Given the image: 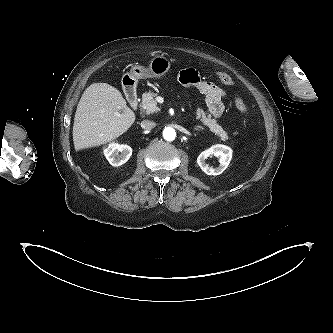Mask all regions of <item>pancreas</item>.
<instances>
[{
    "instance_id": "1",
    "label": "pancreas",
    "mask_w": 333,
    "mask_h": 333,
    "mask_svg": "<svg viewBox=\"0 0 333 333\" xmlns=\"http://www.w3.org/2000/svg\"><path fill=\"white\" fill-rule=\"evenodd\" d=\"M157 93L152 91L145 92L142 95V108L144 109L146 114H151L153 112L158 111L157 102L155 98L157 97ZM196 117L200 119L204 126L209 127L210 131L217 135L220 140L226 142L229 137L227 133L223 130L221 126L217 124L215 119H212V116L206 112H204L201 108H197L195 111Z\"/></svg>"
}]
</instances>
